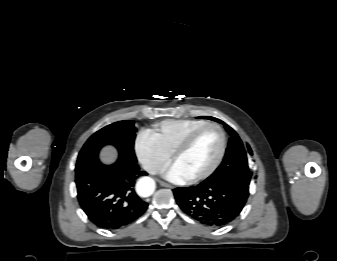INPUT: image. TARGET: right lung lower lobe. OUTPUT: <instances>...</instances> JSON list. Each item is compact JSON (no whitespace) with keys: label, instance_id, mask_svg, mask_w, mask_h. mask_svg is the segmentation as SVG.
<instances>
[{"label":"right lung lower lobe","instance_id":"98d812e1","mask_svg":"<svg viewBox=\"0 0 337 261\" xmlns=\"http://www.w3.org/2000/svg\"><path fill=\"white\" fill-rule=\"evenodd\" d=\"M147 175L137 161L119 156L116 163L96 161L76 172L77 197L88 218L98 227L115 230L137 220L147 209L134 190L136 180Z\"/></svg>","mask_w":337,"mask_h":261}]
</instances>
